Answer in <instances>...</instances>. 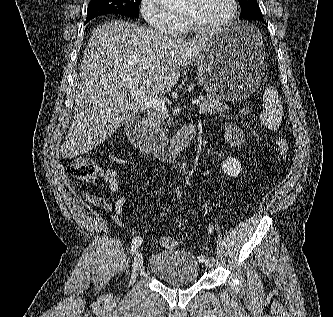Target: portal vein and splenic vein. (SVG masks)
<instances>
[{
	"label": "portal vein and splenic vein",
	"instance_id": "1",
	"mask_svg": "<svg viewBox=\"0 0 333 317\" xmlns=\"http://www.w3.org/2000/svg\"><path fill=\"white\" fill-rule=\"evenodd\" d=\"M129 90H130L132 99H134V101H136L137 103L144 105L146 107H149V108H153L158 111L167 110V106L164 101L154 98V97L147 96L145 93L141 92L137 86H130ZM201 100H202V97L198 98V99H194L192 101V104L199 105Z\"/></svg>",
	"mask_w": 333,
	"mask_h": 317
}]
</instances>
